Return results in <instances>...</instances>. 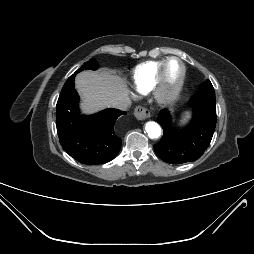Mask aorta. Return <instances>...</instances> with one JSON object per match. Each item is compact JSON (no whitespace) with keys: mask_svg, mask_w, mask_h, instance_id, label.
<instances>
[{"mask_svg":"<svg viewBox=\"0 0 254 254\" xmlns=\"http://www.w3.org/2000/svg\"><path fill=\"white\" fill-rule=\"evenodd\" d=\"M145 130L151 139H157L161 135V127L153 121L146 123Z\"/></svg>","mask_w":254,"mask_h":254,"instance_id":"obj_1","label":"aorta"}]
</instances>
